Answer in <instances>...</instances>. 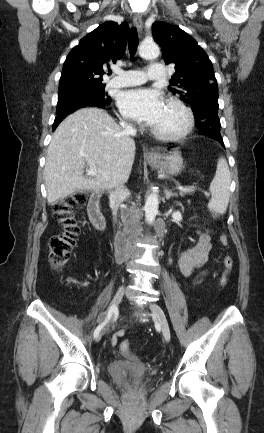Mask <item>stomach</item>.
Segmentation results:
<instances>
[{"instance_id":"1","label":"stomach","mask_w":264,"mask_h":433,"mask_svg":"<svg viewBox=\"0 0 264 433\" xmlns=\"http://www.w3.org/2000/svg\"><path fill=\"white\" fill-rule=\"evenodd\" d=\"M152 168L166 175H177L183 168V158L177 150L159 154L155 160H149Z\"/></svg>"}]
</instances>
